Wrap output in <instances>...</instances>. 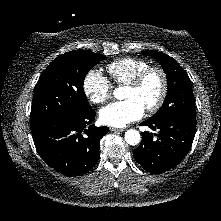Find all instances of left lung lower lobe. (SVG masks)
<instances>
[{
    "label": "left lung lower lobe",
    "instance_id": "obj_1",
    "mask_svg": "<svg viewBox=\"0 0 221 221\" xmlns=\"http://www.w3.org/2000/svg\"><path fill=\"white\" fill-rule=\"evenodd\" d=\"M141 125L158 132H144L133 156L145 170L155 174L166 172L178 165L191 148L196 132V122L178 117L150 118Z\"/></svg>",
    "mask_w": 221,
    "mask_h": 221
}]
</instances>
